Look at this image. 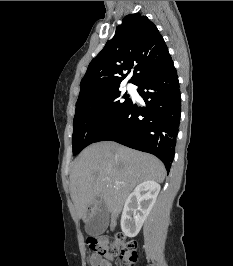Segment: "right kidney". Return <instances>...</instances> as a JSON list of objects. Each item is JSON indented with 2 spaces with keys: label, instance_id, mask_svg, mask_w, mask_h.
Returning a JSON list of instances; mask_svg holds the SVG:
<instances>
[{
  "label": "right kidney",
  "instance_id": "obj_1",
  "mask_svg": "<svg viewBox=\"0 0 233 266\" xmlns=\"http://www.w3.org/2000/svg\"><path fill=\"white\" fill-rule=\"evenodd\" d=\"M160 185L155 181H144L137 185L127 198L122 217L121 229L128 237H135L147 216L149 215L158 193Z\"/></svg>",
  "mask_w": 233,
  "mask_h": 266
}]
</instances>
